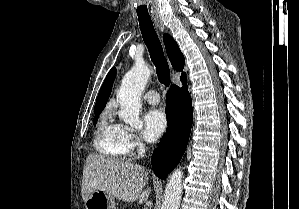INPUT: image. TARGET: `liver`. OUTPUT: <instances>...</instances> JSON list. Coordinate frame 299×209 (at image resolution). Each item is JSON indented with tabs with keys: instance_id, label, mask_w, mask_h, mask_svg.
Instances as JSON below:
<instances>
[{
	"instance_id": "obj_1",
	"label": "liver",
	"mask_w": 299,
	"mask_h": 209,
	"mask_svg": "<svg viewBox=\"0 0 299 209\" xmlns=\"http://www.w3.org/2000/svg\"><path fill=\"white\" fill-rule=\"evenodd\" d=\"M148 180L144 167L98 154H89L82 179V198L86 201L98 190L126 202L147 201L151 189L143 190Z\"/></svg>"
}]
</instances>
